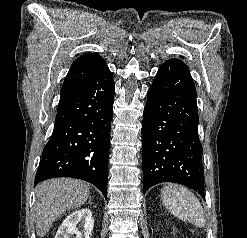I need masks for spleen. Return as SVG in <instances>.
Wrapping results in <instances>:
<instances>
[{
    "mask_svg": "<svg viewBox=\"0 0 247 238\" xmlns=\"http://www.w3.org/2000/svg\"><path fill=\"white\" fill-rule=\"evenodd\" d=\"M164 206L183 221H188L196 227H204L205 217L200 201L185 187L168 185L161 195Z\"/></svg>",
    "mask_w": 247,
    "mask_h": 238,
    "instance_id": "1",
    "label": "spleen"
}]
</instances>
